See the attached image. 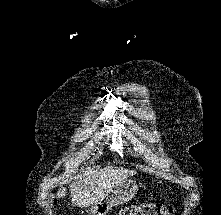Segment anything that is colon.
Segmentation results:
<instances>
[{"instance_id":"1","label":"colon","mask_w":221,"mask_h":215,"mask_svg":"<svg viewBox=\"0 0 221 215\" xmlns=\"http://www.w3.org/2000/svg\"><path fill=\"white\" fill-rule=\"evenodd\" d=\"M116 215H173V209L163 204L145 203L122 207Z\"/></svg>"}]
</instances>
